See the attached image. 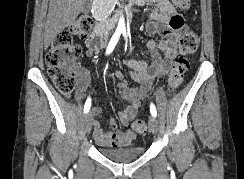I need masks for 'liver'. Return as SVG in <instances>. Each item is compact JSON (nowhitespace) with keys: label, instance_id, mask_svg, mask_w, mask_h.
<instances>
[{"label":"liver","instance_id":"6515ba94","mask_svg":"<svg viewBox=\"0 0 244 179\" xmlns=\"http://www.w3.org/2000/svg\"><path fill=\"white\" fill-rule=\"evenodd\" d=\"M86 0H50L44 34V46L48 48L64 28L73 24L81 14Z\"/></svg>","mask_w":244,"mask_h":179}]
</instances>
